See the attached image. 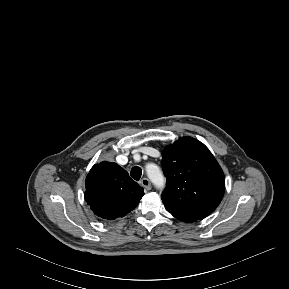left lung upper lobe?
<instances>
[{
    "label": "left lung upper lobe",
    "instance_id": "5c2ea615",
    "mask_svg": "<svg viewBox=\"0 0 289 289\" xmlns=\"http://www.w3.org/2000/svg\"><path fill=\"white\" fill-rule=\"evenodd\" d=\"M167 186L161 198L172 214L203 219L221 202L225 178L219 164L200 141L183 137L163 151Z\"/></svg>",
    "mask_w": 289,
    "mask_h": 289
}]
</instances>
